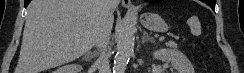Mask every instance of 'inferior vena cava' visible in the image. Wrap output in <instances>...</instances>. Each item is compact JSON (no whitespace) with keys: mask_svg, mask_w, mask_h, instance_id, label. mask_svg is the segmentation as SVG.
<instances>
[{"mask_svg":"<svg viewBox=\"0 0 244 73\" xmlns=\"http://www.w3.org/2000/svg\"><path fill=\"white\" fill-rule=\"evenodd\" d=\"M119 0H100V16L95 45L101 54L96 61L99 73H111L107 56V46L111 35V18Z\"/></svg>","mask_w":244,"mask_h":73,"instance_id":"1","label":"inferior vena cava"}]
</instances>
